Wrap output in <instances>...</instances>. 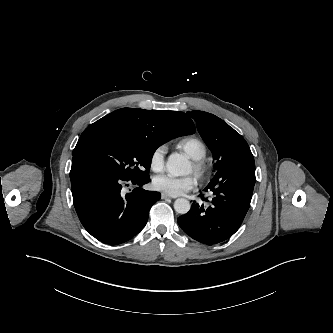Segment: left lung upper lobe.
<instances>
[{"mask_svg":"<svg viewBox=\"0 0 333 333\" xmlns=\"http://www.w3.org/2000/svg\"><path fill=\"white\" fill-rule=\"evenodd\" d=\"M188 114L195 120L202 139L213 153L216 171L235 156L250 151L244 138L217 116L202 111Z\"/></svg>","mask_w":333,"mask_h":333,"instance_id":"left-lung-upper-lobe-1","label":"left lung upper lobe"}]
</instances>
